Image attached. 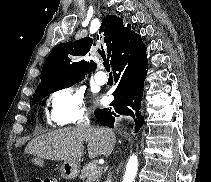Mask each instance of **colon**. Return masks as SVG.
<instances>
[{
    "label": "colon",
    "mask_w": 211,
    "mask_h": 182,
    "mask_svg": "<svg viewBox=\"0 0 211 182\" xmlns=\"http://www.w3.org/2000/svg\"><path fill=\"white\" fill-rule=\"evenodd\" d=\"M35 182H60V181L55 177H49L43 180L42 179L36 180Z\"/></svg>",
    "instance_id": "1"
}]
</instances>
